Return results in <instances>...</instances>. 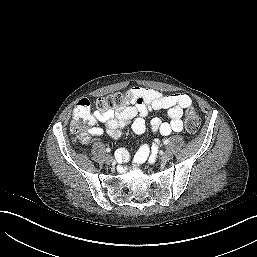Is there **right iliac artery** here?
<instances>
[{
  "label": "right iliac artery",
  "mask_w": 257,
  "mask_h": 257,
  "mask_svg": "<svg viewBox=\"0 0 257 257\" xmlns=\"http://www.w3.org/2000/svg\"><path fill=\"white\" fill-rule=\"evenodd\" d=\"M111 151V149L110 148H106V152H110Z\"/></svg>",
  "instance_id": "right-iliac-artery-1"
}]
</instances>
